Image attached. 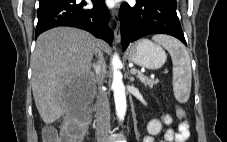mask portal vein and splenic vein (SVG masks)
<instances>
[{"instance_id":"18ae733b","label":"portal vein and splenic vein","mask_w":227,"mask_h":142,"mask_svg":"<svg viewBox=\"0 0 227 142\" xmlns=\"http://www.w3.org/2000/svg\"><path fill=\"white\" fill-rule=\"evenodd\" d=\"M131 73L134 74V75H135V74H142L141 72H139V71H137V70H135V69H132V70H131Z\"/></svg>"}]
</instances>
